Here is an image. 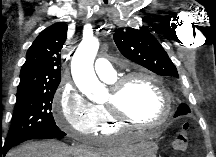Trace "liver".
<instances>
[{
    "label": "liver",
    "instance_id": "liver-1",
    "mask_svg": "<svg viewBox=\"0 0 216 157\" xmlns=\"http://www.w3.org/2000/svg\"><path fill=\"white\" fill-rule=\"evenodd\" d=\"M142 144L128 140L122 145L108 149L68 147L59 141L30 142L9 151L6 157H135Z\"/></svg>",
    "mask_w": 216,
    "mask_h": 157
}]
</instances>
